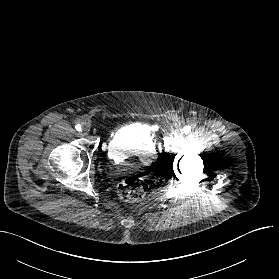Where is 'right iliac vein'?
I'll list each match as a JSON object with an SVG mask.
<instances>
[{
    "label": "right iliac vein",
    "instance_id": "obj_1",
    "mask_svg": "<svg viewBox=\"0 0 279 279\" xmlns=\"http://www.w3.org/2000/svg\"><path fill=\"white\" fill-rule=\"evenodd\" d=\"M89 131H90V126H85L84 127V129H83V133L86 135V134H88L89 133Z\"/></svg>",
    "mask_w": 279,
    "mask_h": 279
}]
</instances>
